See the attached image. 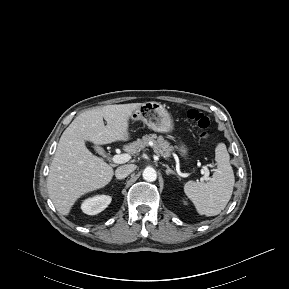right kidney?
I'll return each instance as SVG.
<instances>
[{
  "label": "right kidney",
  "instance_id": "right-kidney-1",
  "mask_svg": "<svg viewBox=\"0 0 289 289\" xmlns=\"http://www.w3.org/2000/svg\"><path fill=\"white\" fill-rule=\"evenodd\" d=\"M111 203V197L107 195H97L84 200L81 209L85 214L96 215L102 212Z\"/></svg>",
  "mask_w": 289,
  "mask_h": 289
}]
</instances>
